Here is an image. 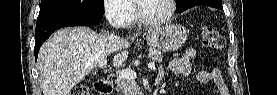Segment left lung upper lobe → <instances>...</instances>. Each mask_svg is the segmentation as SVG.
Returning <instances> with one entry per match:
<instances>
[{
	"label": "left lung upper lobe",
	"instance_id": "obj_1",
	"mask_svg": "<svg viewBox=\"0 0 277 95\" xmlns=\"http://www.w3.org/2000/svg\"><path fill=\"white\" fill-rule=\"evenodd\" d=\"M207 5L210 7L223 9L221 0H176V13H181L191 7Z\"/></svg>",
	"mask_w": 277,
	"mask_h": 95
}]
</instances>
